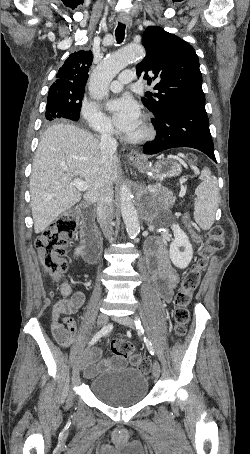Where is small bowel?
Here are the masks:
<instances>
[{"instance_id": "small-bowel-1", "label": "small bowel", "mask_w": 250, "mask_h": 454, "mask_svg": "<svg viewBox=\"0 0 250 454\" xmlns=\"http://www.w3.org/2000/svg\"><path fill=\"white\" fill-rule=\"evenodd\" d=\"M183 221L194 241L199 242L200 237L193 231L187 215H183ZM147 263L157 294L164 301H169L179 280V274L170 261L169 250L164 243L159 240L148 242ZM61 294L63 299L58 301L52 310L51 331L60 345L69 347L77 338L76 323L71 315L84 305L85 292L79 290L73 293L68 284H63ZM110 364L111 359H101L100 349L94 348L85 363L84 374L88 378L94 377L100 371L106 370Z\"/></svg>"}]
</instances>
